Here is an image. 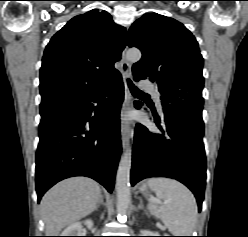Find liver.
<instances>
[{"instance_id":"obj_1","label":"liver","mask_w":248,"mask_h":237,"mask_svg":"<svg viewBox=\"0 0 248 237\" xmlns=\"http://www.w3.org/2000/svg\"><path fill=\"white\" fill-rule=\"evenodd\" d=\"M101 190L90 178L75 177L59 182L41 200L46 236H58L67 225L92 213Z\"/></svg>"}]
</instances>
